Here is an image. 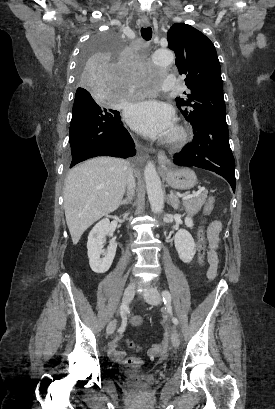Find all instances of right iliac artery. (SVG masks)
<instances>
[{
	"label": "right iliac artery",
	"mask_w": 275,
	"mask_h": 409,
	"mask_svg": "<svg viewBox=\"0 0 275 409\" xmlns=\"http://www.w3.org/2000/svg\"><path fill=\"white\" fill-rule=\"evenodd\" d=\"M125 310H126V307H125L124 305H122V306L120 307V314H121V316H122V325H121V327L118 329V332H119V333L124 332L125 327H126Z\"/></svg>",
	"instance_id": "82829eb1"
}]
</instances>
